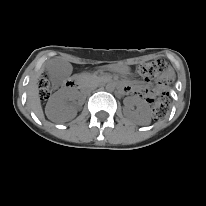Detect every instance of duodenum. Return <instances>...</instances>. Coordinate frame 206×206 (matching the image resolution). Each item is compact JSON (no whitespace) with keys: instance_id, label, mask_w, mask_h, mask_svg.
Masks as SVG:
<instances>
[{"instance_id":"duodenum-1","label":"duodenum","mask_w":206,"mask_h":206,"mask_svg":"<svg viewBox=\"0 0 206 206\" xmlns=\"http://www.w3.org/2000/svg\"><path fill=\"white\" fill-rule=\"evenodd\" d=\"M65 87L67 88H78L79 87V84L76 80H68L66 83H65Z\"/></svg>"}]
</instances>
